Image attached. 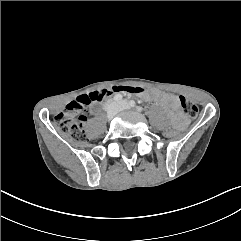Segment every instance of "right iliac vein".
<instances>
[{
	"label": "right iliac vein",
	"instance_id": "63e3f726",
	"mask_svg": "<svg viewBox=\"0 0 241 241\" xmlns=\"http://www.w3.org/2000/svg\"><path fill=\"white\" fill-rule=\"evenodd\" d=\"M119 111V105L116 103H111L108 106V110H107V118L108 120H111Z\"/></svg>",
	"mask_w": 241,
	"mask_h": 241
}]
</instances>
